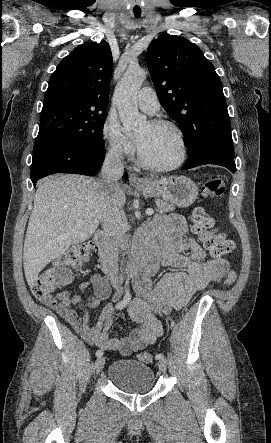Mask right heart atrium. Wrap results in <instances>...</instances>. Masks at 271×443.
<instances>
[{
    "label": "right heart atrium",
    "mask_w": 271,
    "mask_h": 443,
    "mask_svg": "<svg viewBox=\"0 0 271 443\" xmlns=\"http://www.w3.org/2000/svg\"><path fill=\"white\" fill-rule=\"evenodd\" d=\"M101 138L107 152L115 158L124 159L134 151L132 141L123 133L119 121L112 115H107L101 126Z\"/></svg>",
    "instance_id": "1"
}]
</instances>
